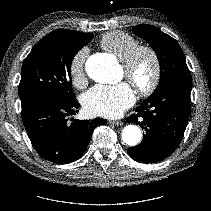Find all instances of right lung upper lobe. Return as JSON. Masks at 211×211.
<instances>
[{
	"label": "right lung upper lobe",
	"instance_id": "obj_1",
	"mask_svg": "<svg viewBox=\"0 0 211 211\" xmlns=\"http://www.w3.org/2000/svg\"><path fill=\"white\" fill-rule=\"evenodd\" d=\"M62 30H66V29L55 30L54 32H58V31H62Z\"/></svg>",
	"mask_w": 211,
	"mask_h": 211
}]
</instances>
